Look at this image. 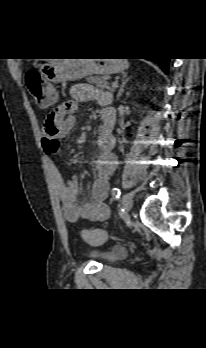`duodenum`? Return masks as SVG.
I'll return each instance as SVG.
<instances>
[{
  "mask_svg": "<svg viewBox=\"0 0 206 348\" xmlns=\"http://www.w3.org/2000/svg\"><path fill=\"white\" fill-rule=\"evenodd\" d=\"M104 125L98 132V138L102 146L111 149L114 142L113 127L116 121L115 107H104L102 110Z\"/></svg>",
  "mask_w": 206,
  "mask_h": 348,
  "instance_id": "1",
  "label": "duodenum"
}]
</instances>
